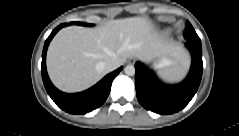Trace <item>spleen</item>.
I'll list each match as a JSON object with an SVG mask.
<instances>
[{
	"label": "spleen",
	"mask_w": 239,
	"mask_h": 136,
	"mask_svg": "<svg viewBox=\"0 0 239 136\" xmlns=\"http://www.w3.org/2000/svg\"><path fill=\"white\" fill-rule=\"evenodd\" d=\"M184 74V71L181 69L173 68L165 72V76L170 80H178Z\"/></svg>",
	"instance_id": "spleen-1"
}]
</instances>
